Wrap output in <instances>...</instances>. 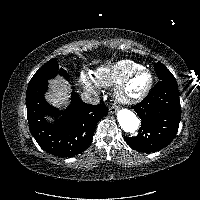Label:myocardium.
Instances as JSON below:
<instances>
[{
	"label": "myocardium",
	"instance_id": "1",
	"mask_svg": "<svg viewBox=\"0 0 200 200\" xmlns=\"http://www.w3.org/2000/svg\"><path fill=\"white\" fill-rule=\"evenodd\" d=\"M140 73H146L149 77V81H148V84L147 86L145 87V89L137 96H129L126 94V88H127V85L129 84V82L135 77L137 76L138 74ZM153 82H154V78H153V75L152 73L142 67V68H139L133 72H131L127 77H125L119 84L116 85V88L114 90V96H115V99L118 103L120 104H124V105H134V104H137L141 101H143L147 96L148 94L150 93L151 89H152V86H153Z\"/></svg>",
	"mask_w": 200,
	"mask_h": 200
}]
</instances>
